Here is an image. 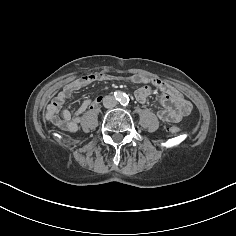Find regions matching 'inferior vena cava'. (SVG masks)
Segmentation results:
<instances>
[{"label":"inferior vena cava","mask_w":236,"mask_h":236,"mask_svg":"<svg viewBox=\"0 0 236 236\" xmlns=\"http://www.w3.org/2000/svg\"><path fill=\"white\" fill-rule=\"evenodd\" d=\"M116 104V99L111 95L105 96L103 99V105L105 108H113L116 106Z\"/></svg>","instance_id":"602c4592"}]
</instances>
